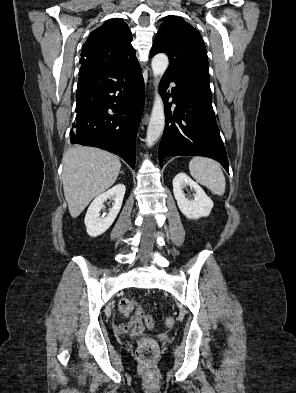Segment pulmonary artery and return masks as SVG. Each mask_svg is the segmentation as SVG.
<instances>
[{
	"mask_svg": "<svg viewBox=\"0 0 296 393\" xmlns=\"http://www.w3.org/2000/svg\"><path fill=\"white\" fill-rule=\"evenodd\" d=\"M171 86H172V87L174 86V83H173V82H171Z\"/></svg>",
	"mask_w": 296,
	"mask_h": 393,
	"instance_id": "obj_1",
	"label": "pulmonary artery"
}]
</instances>
